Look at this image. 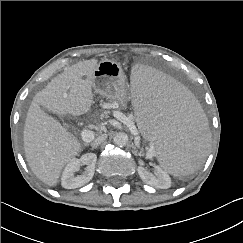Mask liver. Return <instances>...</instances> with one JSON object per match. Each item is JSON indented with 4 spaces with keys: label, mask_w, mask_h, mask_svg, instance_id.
Masks as SVG:
<instances>
[{
    "label": "liver",
    "mask_w": 243,
    "mask_h": 243,
    "mask_svg": "<svg viewBox=\"0 0 243 243\" xmlns=\"http://www.w3.org/2000/svg\"><path fill=\"white\" fill-rule=\"evenodd\" d=\"M97 64L96 59H91L67 68L35 95L29 107L23 137L25 157L35 176L49 186L58 183L63 168L82 146L41 106L59 115L87 113L94 102L92 88Z\"/></svg>",
    "instance_id": "1"
}]
</instances>
